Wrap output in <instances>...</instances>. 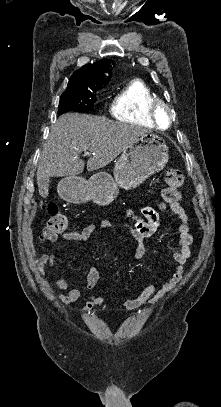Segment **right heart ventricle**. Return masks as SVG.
<instances>
[{
	"mask_svg": "<svg viewBox=\"0 0 221 407\" xmlns=\"http://www.w3.org/2000/svg\"><path fill=\"white\" fill-rule=\"evenodd\" d=\"M158 99L146 82L134 79L114 93L108 109L117 120L153 126L151 105Z\"/></svg>",
	"mask_w": 221,
	"mask_h": 407,
	"instance_id": "right-heart-ventricle-1",
	"label": "right heart ventricle"
}]
</instances>
